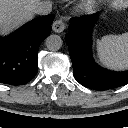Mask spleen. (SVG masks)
I'll return each instance as SVG.
<instances>
[{"instance_id": "1", "label": "spleen", "mask_w": 128, "mask_h": 128, "mask_svg": "<svg viewBox=\"0 0 128 128\" xmlns=\"http://www.w3.org/2000/svg\"><path fill=\"white\" fill-rule=\"evenodd\" d=\"M100 61L110 68L128 67V32L121 35H106L97 40Z\"/></svg>"}]
</instances>
